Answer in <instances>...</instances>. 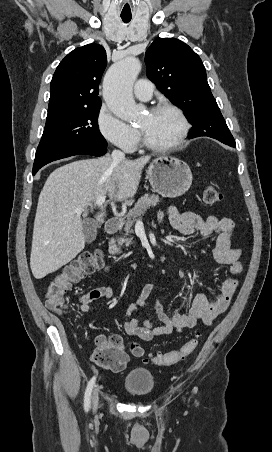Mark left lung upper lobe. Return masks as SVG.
Wrapping results in <instances>:
<instances>
[{
  "label": "left lung upper lobe",
  "mask_w": 272,
  "mask_h": 452,
  "mask_svg": "<svg viewBox=\"0 0 272 452\" xmlns=\"http://www.w3.org/2000/svg\"><path fill=\"white\" fill-rule=\"evenodd\" d=\"M147 76L192 123L190 134L235 143L207 82L200 57L184 42L158 38L145 54Z\"/></svg>",
  "instance_id": "left-lung-upper-lobe-1"
}]
</instances>
